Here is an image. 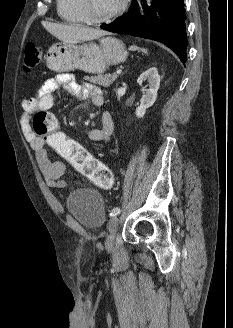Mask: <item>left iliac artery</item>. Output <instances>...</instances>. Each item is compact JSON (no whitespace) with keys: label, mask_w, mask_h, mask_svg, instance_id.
Listing matches in <instances>:
<instances>
[{"label":"left iliac artery","mask_w":233,"mask_h":328,"mask_svg":"<svg viewBox=\"0 0 233 328\" xmlns=\"http://www.w3.org/2000/svg\"><path fill=\"white\" fill-rule=\"evenodd\" d=\"M120 208H118V207H116V208H113L112 209V211H111V213H110V216L111 217H114V216H116V215H118L119 213H120Z\"/></svg>","instance_id":"44dca946"}]
</instances>
